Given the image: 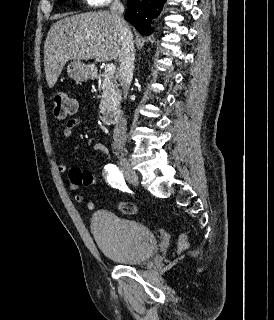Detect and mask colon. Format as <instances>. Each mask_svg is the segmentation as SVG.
<instances>
[{
    "label": "colon",
    "mask_w": 274,
    "mask_h": 320,
    "mask_svg": "<svg viewBox=\"0 0 274 320\" xmlns=\"http://www.w3.org/2000/svg\"><path fill=\"white\" fill-rule=\"evenodd\" d=\"M52 114L54 119L64 121L69 116L75 114L77 109L76 101L64 89H55L51 93ZM69 179L74 186L82 183L83 186H92L95 181V176L91 175L90 169L73 168L69 172ZM117 210L124 215H134L137 212V207L129 202H122L117 205ZM182 246L185 245L184 235L179 237Z\"/></svg>",
    "instance_id": "colon-1"
}]
</instances>
